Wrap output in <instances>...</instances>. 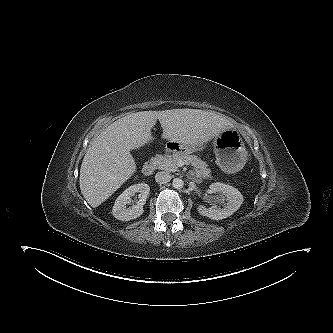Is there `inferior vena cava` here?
I'll return each instance as SVG.
<instances>
[{"mask_svg":"<svg viewBox=\"0 0 333 333\" xmlns=\"http://www.w3.org/2000/svg\"><path fill=\"white\" fill-rule=\"evenodd\" d=\"M171 178V174L165 171H160L155 175V180L158 184H166L171 180Z\"/></svg>","mask_w":333,"mask_h":333,"instance_id":"inferior-vena-cava-1","label":"inferior vena cava"}]
</instances>
